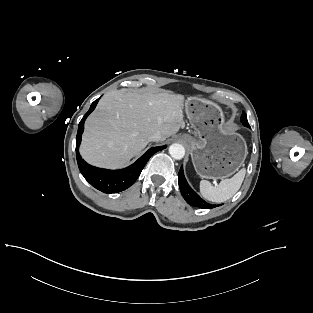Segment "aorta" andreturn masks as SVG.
Segmentation results:
<instances>
[{"mask_svg":"<svg viewBox=\"0 0 313 313\" xmlns=\"http://www.w3.org/2000/svg\"><path fill=\"white\" fill-rule=\"evenodd\" d=\"M169 154L171 155L172 158L180 160L185 155V148L183 145L179 143H174L169 147Z\"/></svg>","mask_w":313,"mask_h":313,"instance_id":"1","label":"aorta"}]
</instances>
